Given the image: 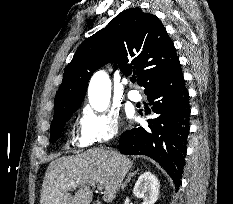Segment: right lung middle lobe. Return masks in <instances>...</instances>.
<instances>
[{"label": "right lung middle lobe", "mask_w": 233, "mask_h": 204, "mask_svg": "<svg viewBox=\"0 0 233 204\" xmlns=\"http://www.w3.org/2000/svg\"><path fill=\"white\" fill-rule=\"evenodd\" d=\"M74 111L75 110L65 114L61 118L52 120L50 127L51 128L50 143H53L58 140L65 126V123L70 119Z\"/></svg>", "instance_id": "1"}]
</instances>
